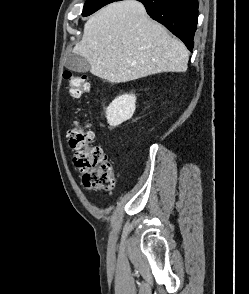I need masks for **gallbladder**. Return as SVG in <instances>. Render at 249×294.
<instances>
[{
    "mask_svg": "<svg viewBox=\"0 0 249 294\" xmlns=\"http://www.w3.org/2000/svg\"><path fill=\"white\" fill-rule=\"evenodd\" d=\"M65 67L78 73H86L90 70V64L85 57L71 53L67 56Z\"/></svg>",
    "mask_w": 249,
    "mask_h": 294,
    "instance_id": "gallbladder-1",
    "label": "gallbladder"
}]
</instances>
